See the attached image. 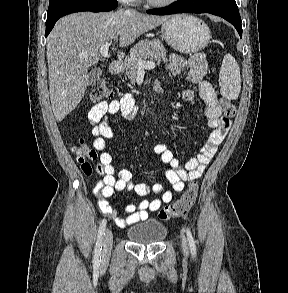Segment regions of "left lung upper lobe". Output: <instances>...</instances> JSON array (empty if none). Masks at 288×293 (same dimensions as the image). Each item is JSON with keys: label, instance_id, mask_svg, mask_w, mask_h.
I'll use <instances>...</instances> for the list:
<instances>
[{"label": "left lung upper lobe", "instance_id": "1", "mask_svg": "<svg viewBox=\"0 0 288 293\" xmlns=\"http://www.w3.org/2000/svg\"><path fill=\"white\" fill-rule=\"evenodd\" d=\"M191 1H194V2H203V1H206V0H191ZM218 1H221V2H224V3H227V4H230V5H236V2L235 0H218Z\"/></svg>", "mask_w": 288, "mask_h": 293}]
</instances>
